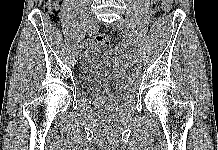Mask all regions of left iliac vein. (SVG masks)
Masks as SVG:
<instances>
[{"label":"left iliac vein","instance_id":"1","mask_svg":"<svg viewBox=\"0 0 218 150\" xmlns=\"http://www.w3.org/2000/svg\"><path fill=\"white\" fill-rule=\"evenodd\" d=\"M114 25L122 32V33H127L128 32V25L126 23V21L122 18L118 19L117 21H115ZM128 60V64L132 65L133 61H132V57L134 56L132 53H130Z\"/></svg>","mask_w":218,"mask_h":150}]
</instances>
